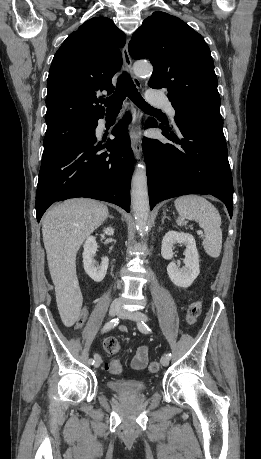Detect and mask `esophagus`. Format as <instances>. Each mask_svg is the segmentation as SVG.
<instances>
[{"mask_svg":"<svg viewBox=\"0 0 261 459\" xmlns=\"http://www.w3.org/2000/svg\"><path fill=\"white\" fill-rule=\"evenodd\" d=\"M128 43H129V39L126 41V44H125V46H124V48L122 50L124 66L127 69V71L130 73V75H131V77L133 79V82L136 85V87L137 88H141V83H140L139 79L136 76H134L133 72H132V59H131V56L129 54ZM136 114H137V125H136V128H135L136 135L132 139L131 146H132V150H133L134 156L137 159H139L140 154H141V150H142V146H141L142 140H141V137L138 135V132L140 131V121H141V118H142V112L139 109H137Z\"/></svg>","mask_w":261,"mask_h":459,"instance_id":"obj_1","label":"esophagus"}]
</instances>
